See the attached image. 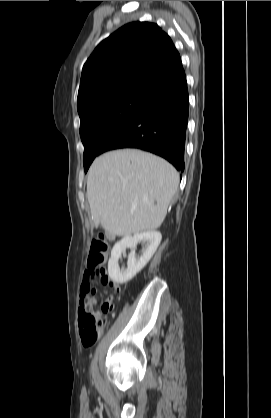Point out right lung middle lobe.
I'll return each instance as SVG.
<instances>
[{
  "label": "right lung middle lobe",
  "mask_w": 271,
  "mask_h": 418,
  "mask_svg": "<svg viewBox=\"0 0 271 418\" xmlns=\"http://www.w3.org/2000/svg\"><path fill=\"white\" fill-rule=\"evenodd\" d=\"M151 100L133 94H122L91 104L78 111L80 136L84 145L85 172L106 140Z\"/></svg>",
  "instance_id": "obj_1"
}]
</instances>
